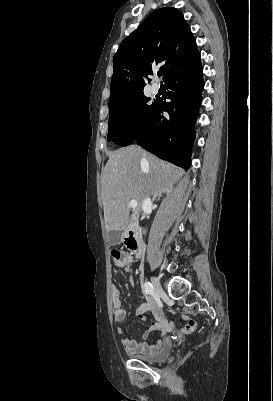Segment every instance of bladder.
Segmentation results:
<instances>
[{"label":"bladder","mask_w":273,"mask_h":401,"mask_svg":"<svg viewBox=\"0 0 273 401\" xmlns=\"http://www.w3.org/2000/svg\"><path fill=\"white\" fill-rule=\"evenodd\" d=\"M172 354V343L169 340L163 342L160 351L153 356L134 355L133 358L144 363L155 364L161 363L170 358Z\"/></svg>","instance_id":"bladder-1"}]
</instances>
